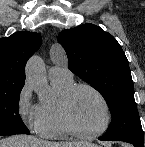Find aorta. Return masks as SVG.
Segmentation results:
<instances>
[{
    "label": "aorta",
    "instance_id": "762f6f07",
    "mask_svg": "<svg viewBox=\"0 0 145 147\" xmlns=\"http://www.w3.org/2000/svg\"><path fill=\"white\" fill-rule=\"evenodd\" d=\"M26 80L39 94L41 100L49 97V87L42 59L38 55L32 56L26 66Z\"/></svg>",
    "mask_w": 145,
    "mask_h": 147
}]
</instances>
